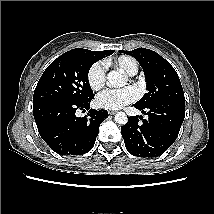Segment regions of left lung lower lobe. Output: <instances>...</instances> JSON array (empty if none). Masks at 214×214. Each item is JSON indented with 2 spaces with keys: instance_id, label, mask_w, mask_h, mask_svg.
<instances>
[{
  "instance_id": "obj_1",
  "label": "left lung lower lobe",
  "mask_w": 214,
  "mask_h": 214,
  "mask_svg": "<svg viewBox=\"0 0 214 214\" xmlns=\"http://www.w3.org/2000/svg\"><path fill=\"white\" fill-rule=\"evenodd\" d=\"M137 109L148 119L131 116L121 128L125 147L138 157H157L176 140L185 117V102L163 101ZM142 119V122H139Z\"/></svg>"
}]
</instances>
